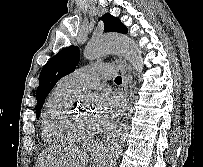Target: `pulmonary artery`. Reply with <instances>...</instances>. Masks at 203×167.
Here are the masks:
<instances>
[{
  "instance_id": "1",
  "label": "pulmonary artery",
  "mask_w": 203,
  "mask_h": 167,
  "mask_svg": "<svg viewBox=\"0 0 203 167\" xmlns=\"http://www.w3.org/2000/svg\"><path fill=\"white\" fill-rule=\"evenodd\" d=\"M116 71L111 64H92L73 71L61 81L76 90L87 89L96 86L101 79L113 77Z\"/></svg>"
}]
</instances>
